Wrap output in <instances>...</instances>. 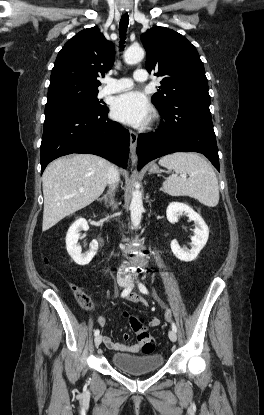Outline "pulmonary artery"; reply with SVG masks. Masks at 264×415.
I'll return each instance as SVG.
<instances>
[{
  "mask_svg": "<svg viewBox=\"0 0 264 415\" xmlns=\"http://www.w3.org/2000/svg\"><path fill=\"white\" fill-rule=\"evenodd\" d=\"M147 80V75L144 71H136L133 78H107L106 86L102 89L103 94H114L121 91L132 89L134 81L144 82Z\"/></svg>",
  "mask_w": 264,
  "mask_h": 415,
  "instance_id": "1",
  "label": "pulmonary artery"
}]
</instances>
